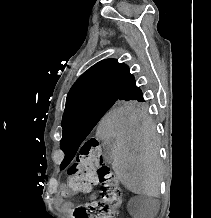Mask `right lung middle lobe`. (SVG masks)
<instances>
[{
  "mask_svg": "<svg viewBox=\"0 0 211 218\" xmlns=\"http://www.w3.org/2000/svg\"><path fill=\"white\" fill-rule=\"evenodd\" d=\"M145 106L143 98L95 99L72 106L66 109L63 114V137L61 142L80 144L110 109H142Z\"/></svg>",
  "mask_w": 211,
  "mask_h": 218,
  "instance_id": "dd1d6c3e",
  "label": "right lung middle lobe"
}]
</instances>
